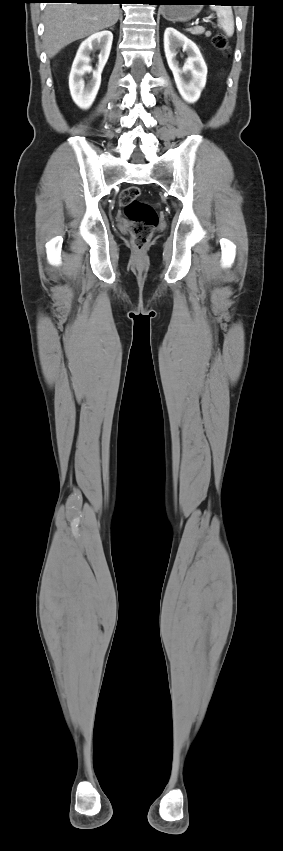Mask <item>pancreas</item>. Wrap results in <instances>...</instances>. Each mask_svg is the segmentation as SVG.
I'll list each match as a JSON object with an SVG mask.
<instances>
[{
  "instance_id": "obj_1",
  "label": "pancreas",
  "mask_w": 283,
  "mask_h": 851,
  "mask_svg": "<svg viewBox=\"0 0 283 851\" xmlns=\"http://www.w3.org/2000/svg\"><path fill=\"white\" fill-rule=\"evenodd\" d=\"M189 31L191 32V34L198 35V34H202L204 32V28L203 27H195L193 29H190Z\"/></svg>"
}]
</instances>
